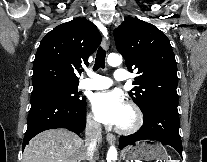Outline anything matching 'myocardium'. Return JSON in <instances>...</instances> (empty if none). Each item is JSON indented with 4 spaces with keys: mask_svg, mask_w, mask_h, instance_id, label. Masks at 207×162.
<instances>
[{
    "mask_svg": "<svg viewBox=\"0 0 207 162\" xmlns=\"http://www.w3.org/2000/svg\"><path fill=\"white\" fill-rule=\"evenodd\" d=\"M126 106L131 110L133 119H132V122L128 126H117L116 127V131L119 134H123V135H129V134L135 133L142 127L143 122H144L143 113L135 102L130 101L126 104Z\"/></svg>",
    "mask_w": 207,
    "mask_h": 162,
    "instance_id": "obj_1",
    "label": "myocardium"
}]
</instances>
